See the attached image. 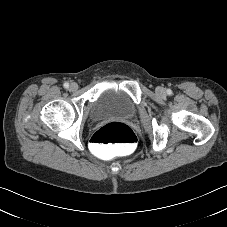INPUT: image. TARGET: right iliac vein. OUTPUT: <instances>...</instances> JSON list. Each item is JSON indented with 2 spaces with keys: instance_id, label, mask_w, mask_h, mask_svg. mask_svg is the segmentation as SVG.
Listing matches in <instances>:
<instances>
[{
  "instance_id": "right-iliac-vein-1",
  "label": "right iliac vein",
  "mask_w": 227,
  "mask_h": 227,
  "mask_svg": "<svg viewBox=\"0 0 227 227\" xmlns=\"http://www.w3.org/2000/svg\"><path fill=\"white\" fill-rule=\"evenodd\" d=\"M78 89V85H77V83H71V85H70V90L71 91H75V90H77Z\"/></svg>"
}]
</instances>
